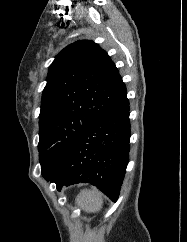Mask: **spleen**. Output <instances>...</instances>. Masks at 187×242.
Instances as JSON below:
<instances>
[{"label":"spleen","mask_w":187,"mask_h":242,"mask_svg":"<svg viewBox=\"0 0 187 242\" xmlns=\"http://www.w3.org/2000/svg\"><path fill=\"white\" fill-rule=\"evenodd\" d=\"M76 203L87 213H96L102 209L103 194L97 189L81 190Z\"/></svg>","instance_id":"3e777b00"}]
</instances>
